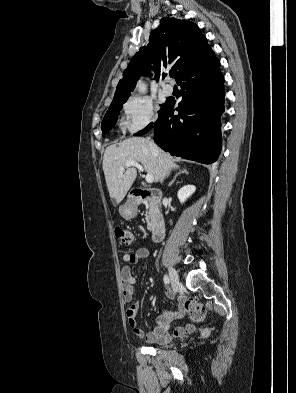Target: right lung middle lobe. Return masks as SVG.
<instances>
[{
  "label": "right lung middle lobe",
  "mask_w": 296,
  "mask_h": 393,
  "mask_svg": "<svg viewBox=\"0 0 296 393\" xmlns=\"http://www.w3.org/2000/svg\"><path fill=\"white\" fill-rule=\"evenodd\" d=\"M127 99L128 98L112 101L101 124L102 136H104L115 125L120 110L122 109V106L127 101ZM163 105L164 104L160 105V107L162 108Z\"/></svg>",
  "instance_id": "right-lung-middle-lobe-1"
}]
</instances>
